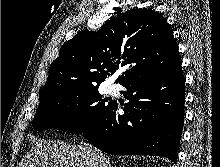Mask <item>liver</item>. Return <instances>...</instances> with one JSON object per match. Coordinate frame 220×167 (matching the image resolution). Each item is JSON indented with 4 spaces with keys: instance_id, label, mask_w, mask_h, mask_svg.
Listing matches in <instances>:
<instances>
[{
    "instance_id": "6515ba94",
    "label": "liver",
    "mask_w": 220,
    "mask_h": 167,
    "mask_svg": "<svg viewBox=\"0 0 220 167\" xmlns=\"http://www.w3.org/2000/svg\"><path fill=\"white\" fill-rule=\"evenodd\" d=\"M102 157L109 164L108 158L92 146L36 141L19 167H100Z\"/></svg>"
}]
</instances>
